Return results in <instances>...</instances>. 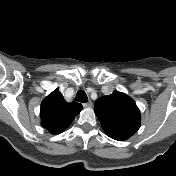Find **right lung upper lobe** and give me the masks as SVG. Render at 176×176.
<instances>
[{"label": "right lung upper lobe", "instance_id": "cb5924a9", "mask_svg": "<svg viewBox=\"0 0 176 176\" xmlns=\"http://www.w3.org/2000/svg\"><path fill=\"white\" fill-rule=\"evenodd\" d=\"M82 108L79 103H67L57 88L42 101V125L52 134H59L72 123Z\"/></svg>", "mask_w": 176, "mask_h": 176}]
</instances>
